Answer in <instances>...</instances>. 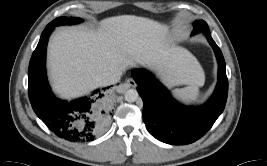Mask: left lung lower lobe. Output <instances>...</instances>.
Wrapping results in <instances>:
<instances>
[{
	"label": "left lung lower lobe",
	"mask_w": 267,
	"mask_h": 166,
	"mask_svg": "<svg viewBox=\"0 0 267 166\" xmlns=\"http://www.w3.org/2000/svg\"><path fill=\"white\" fill-rule=\"evenodd\" d=\"M218 60V84L207 103L202 106H184L148 71L133 70L137 91L143 99V120L147 130L156 139L174 145H185L201 138L224 110L228 81L221 50L208 32H205Z\"/></svg>",
	"instance_id": "0a47b994"
}]
</instances>
